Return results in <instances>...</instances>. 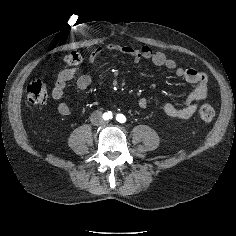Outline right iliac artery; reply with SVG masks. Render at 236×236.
I'll list each match as a JSON object with an SVG mask.
<instances>
[{
  "label": "right iliac artery",
  "mask_w": 236,
  "mask_h": 236,
  "mask_svg": "<svg viewBox=\"0 0 236 236\" xmlns=\"http://www.w3.org/2000/svg\"><path fill=\"white\" fill-rule=\"evenodd\" d=\"M112 112H107V113H105L104 115H103V117L106 119V120H108V119H111L112 118Z\"/></svg>",
  "instance_id": "82829eb1"
}]
</instances>
